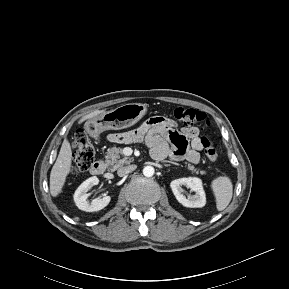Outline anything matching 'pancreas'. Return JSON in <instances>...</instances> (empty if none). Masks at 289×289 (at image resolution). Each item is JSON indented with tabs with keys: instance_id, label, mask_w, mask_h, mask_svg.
Wrapping results in <instances>:
<instances>
[{
	"instance_id": "obj_1",
	"label": "pancreas",
	"mask_w": 289,
	"mask_h": 289,
	"mask_svg": "<svg viewBox=\"0 0 289 289\" xmlns=\"http://www.w3.org/2000/svg\"><path fill=\"white\" fill-rule=\"evenodd\" d=\"M120 154H123V149L120 147L113 146V147L108 149L107 155L105 156L106 164L108 166H110L111 170H113V171L116 170L117 168L123 166V165L130 164L133 161L132 158H129L126 156H123V158H121ZM186 166L191 172H195L196 174L200 173L202 175L206 174L205 171L199 170L189 163Z\"/></svg>"
}]
</instances>
